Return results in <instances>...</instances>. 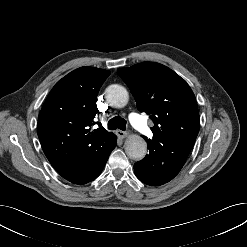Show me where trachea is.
<instances>
[{"label": "trachea", "instance_id": "3493384b", "mask_svg": "<svg viewBox=\"0 0 247 247\" xmlns=\"http://www.w3.org/2000/svg\"><path fill=\"white\" fill-rule=\"evenodd\" d=\"M117 128L122 131L126 130V120L120 116H115L108 121L109 130H116Z\"/></svg>", "mask_w": 247, "mask_h": 247}]
</instances>
